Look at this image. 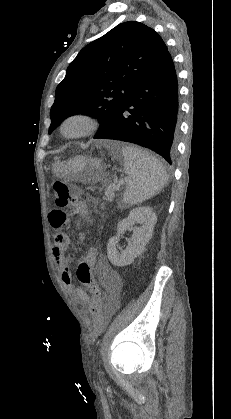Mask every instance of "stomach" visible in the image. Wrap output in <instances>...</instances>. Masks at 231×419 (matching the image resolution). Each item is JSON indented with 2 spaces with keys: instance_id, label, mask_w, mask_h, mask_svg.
<instances>
[{
  "instance_id": "stomach-1",
  "label": "stomach",
  "mask_w": 231,
  "mask_h": 419,
  "mask_svg": "<svg viewBox=\"0 0 231 419\" xmlns=\"http://www.w3.org/2000/svg\"><path fill=\"white\" fill-rule=\"evenodd\" d=\"M100 168V161L96 158L76 156L64 162L54 165L53 173L55 176L72 177L76 180L85 182L92 179L93 174Z\"/></svg>"
}]
</instances>
